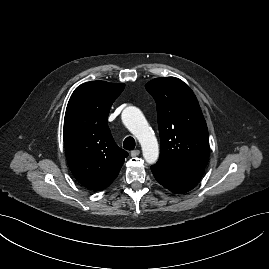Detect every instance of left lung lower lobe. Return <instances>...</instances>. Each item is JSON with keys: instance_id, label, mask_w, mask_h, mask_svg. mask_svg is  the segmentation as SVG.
<instances>
[{"instance_id": "1", "label": "left lung lower lobe", "mask_w": 269, "mask_h": 269, "mask_svg": "<svg viewBox=\"0 0 269 269\" xmlns=\"http://www.w3.org/2000/svg\"><path fill=\"white\" fill-rule=\"evenodd\" d=\"M151 170L158 183L178 194L193 189L204 173V168L164 159H159Z\"/></svg>"}]
</instances>
